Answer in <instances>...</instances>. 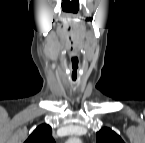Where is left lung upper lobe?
Returning <instances> with one entry per match:
<instances>
[{
    "instance_id": "obj_1",
    "label": "left lung upper lobe",
    "mask_w": 145,
    "mask_h": 143,
    "mask_svg": "<svg viewBox=\"0 0 145 143\" xmlns=\"http://www.w3.org/2000/svg\"><path fill=\"white\" fill-rule=\"evenodd\" d=\"M97 143H123L121 137L110 128H102L96 134Z\"/></svg>"
}]
</instances>
